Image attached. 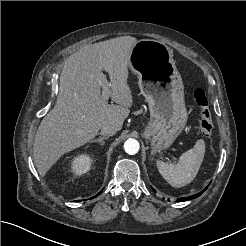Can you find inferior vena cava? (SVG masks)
Instances as JSON below:
<instances>
[{
  "label": "inferior vena cava",
  "mask_w": 246,
  "mask_h": 246,
  "mask_svg": "<svg viewBox=\"0 0 246 246\" xmlns=\"http://www.w3.org/2000/svg\"><path fill=\"white\" fill-rule=\"evenodd\" d=\"M116 132H117V128L115 126L106 124L102 126L100 133L104 136L109 137V136H113Z\"/></svg>",
  "instance_id": "602c4592"
}]
</instances>
